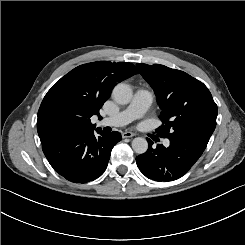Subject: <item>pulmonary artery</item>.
Returning a JSON list of instances; mask_svg holds the SVG:
<instances>
[{"label":"pulmonary artery","mask_w":245,"mask_h":245,"mask_svg":"<svg viewBox=\"0 0 245 245\" xmlns=\"http://www.w3.org/2000/svg\"><path fill=\"white\" fill-rule=\"evenodd\" d=\"M151 104L150 93L142 88L137 89L128 106L115 115L104 118L98 123V126L117 127L126 125L134 119L143 117L150 109ZM159 142L161 145L166 146L169 144L170 139L168 136L163 135L160 137Z\"/></svg>","instance_id":"1"}]
</instances>
